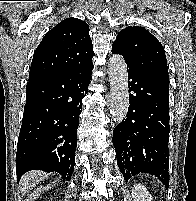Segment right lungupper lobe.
Masks as SVG:
<instances>
[{"instance_id":"1","label":"right lung upper lobe","mask_w":196,"mask_h":201,"mask_svg":"<svg viewBox=\"0 0 196 201\" xmlns=\"http://www.w3.org/2000/svg\"><path fill=\"white\" fill-rule=\"evenodd\" d=\"M93 56L89 26L67 18L51 29L35 50L28 82L77 72L92 65Z\"/></svg>"}]
</instances>
